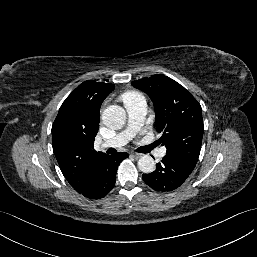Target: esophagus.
<instances>
[{
    "instance_id": "obj_1",
    "label": "esophagus",
    "mask_w": 257,
    "mask_h": 257,
    "mask_svg": "<svg viewBox=\"0 0 257 257\" xmlns=\"http://www.w3.org/2000/svg\"><path fill=\"white\" fill-rule=\"evenodd\" d=\"M130 155L136 159L140 158L142 156V154L140 153H136V152H131Z\"/></svg>"
}]
</instances>
